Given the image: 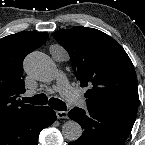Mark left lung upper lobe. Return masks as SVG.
Instances as JSON below:
<instances>
[{"label": "left lung upper lobe", "mask_w": 145, "mask_h": 145, "mask_svg": "<svg viewBox=\"0 0 145 145\" xmlns=\"http://www.w3.org/2000/svg\"><path fill=\"white\" fill-rule=\"evenodd\" d=\"M70 55L76 78L91 109L137 111L138 85L133 64L125 50L109 35L87 27L53 33Z\"/></svg>", "instance_id": "left-lung-upper-lobe-1"}]
</instances>
